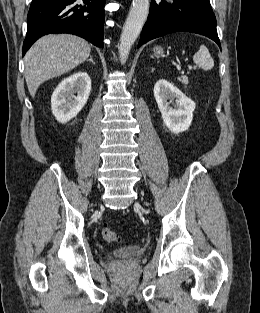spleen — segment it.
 Listing matches in <instances>:
<instances>
[{
    "label": "spleen",
    "mask_w": 260,
    "mask_h": 313,
    "mask_svg": "<svg viewBox=\"0 0 260 313\" xmlns=\"http://www.w3.org/2000/svg\"><path fill=\"white\" fill-rule=\"evenodd\" d=\"M193 61L205 71L211 70L214 66V61L210 55V52L204 45H201L199 50L195 53L193 56Z\"/></svg>",
    "instance_id": "obj_1"
}]
</instances>
